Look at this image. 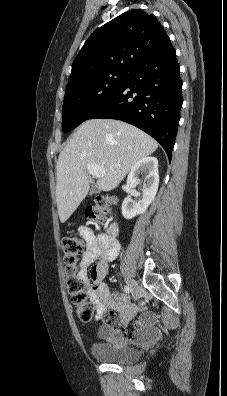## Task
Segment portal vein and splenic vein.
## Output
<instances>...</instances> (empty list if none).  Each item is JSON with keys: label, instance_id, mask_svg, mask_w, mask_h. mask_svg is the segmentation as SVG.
Masks as SVG:
<instances>
[{"label": "portal vein and splenic vein", "instance_id": "1", "mask_svg": "<svg viewBox=\"0 0 227 396\" xmlns=\"http://www.w3.org/2000/svg\"><path fill=\"white\" fill-rule=\"evenodd\" d=\"M87 169L91 175L96 176L98 178L104 177L105 175V171L96 164H88Z\"/></svg>", "mask_w": 227, "mask_h": 396}]
</instances>
